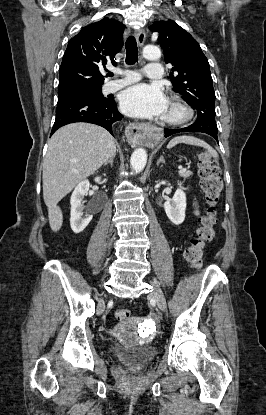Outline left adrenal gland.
I'll return each mask as SVG.
<instances>
[{"mask_svg": "<svg viewBox=\"0 0 266 415\" xmlns=\"http://www.w3.org/2000/svg\"><path fill=\"white\" fill-rule=\"evenodd\" d=\"M160 163H165V160H164V157L163 156H161L159 158V160L157 161V165H159Z\"/></svg>", "mask_w": 266, "mask_h": 415, "instance_id": "a2214340", "label": "left adrenal gland"}]
</instances>
